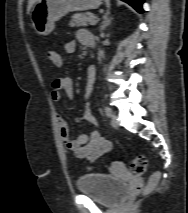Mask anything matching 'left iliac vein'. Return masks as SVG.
Listing matches in <instances>:
<instances>
[{
    "label": "left iliac vein",
    "instance_id": "1",
    "mask_svg": "<svg viewBox=\"0 0 188 213\" xmlns=\"http://www.w3.org/2000/svg\"><path fill=\"white\" fill-rule=\"evenodd\" d=\"M111 125H112V127H114V128H118V127H119V123H118L117 117H116L115 115L112 116Z\"/></svg>",
    "mask_w": 188,
    "mask_h": 213
}]
</instances>
